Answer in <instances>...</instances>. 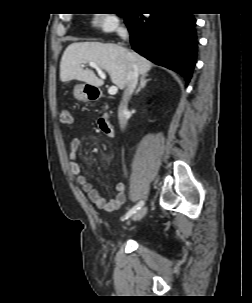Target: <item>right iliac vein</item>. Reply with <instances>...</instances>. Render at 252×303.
<instances>
[{"instance_id": "1", "label": "right iliac vein", "mask_w": 252, "mask_h": 303, "mask_svg": "<svg viewBox=\"0 0 252 303\" xmlns=\"http://www.w3.org/2000/svg\"><path fill=\"white\" fill-rule=\"evenodd\" d=\"M147 213V208L146 207H143L141 209H139L133 216H132V219L134 221H137V220H140L142 219Z\"/></svg>"}]
</instances>
